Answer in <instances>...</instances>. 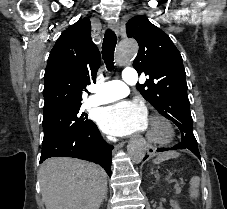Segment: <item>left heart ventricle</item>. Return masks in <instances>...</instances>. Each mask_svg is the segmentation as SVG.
I'll use <instances>...</instances> for the list:
<instances>
[{"mask_svg": "<svg viewBox=\"0 0 227 209\" xmlns=\"http://www.w3.org/2000/svg\"><path fill=\"white\" fill-rule=\"evenodd\" d=\"M166 134V129L163 125L161 124H148L146 128V136H154V137H163Z\"/></svg>", "mask_w": 227, "mask_h": 209, "instance_id": "obj_1", "label": "left heart ventricle"}]
</instances>
